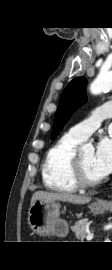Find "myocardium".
<instances>
[{"instance_id": "obj_1", "label": "myocardium", "mask_w": 112, "mask_h": 270, "mask_svg": "<svg viewBox=\"0 0 112 270\" xmlns=\"http://www.w3.org/2000/svg\"><path fill=\"white\" fill-rule=\"evenodd\" d=\"M69 174L77 188H94L100 185L102 182V179L90 181L85 178L80 164L79 154L77 152H75L70 159Z\"/></svg>"}]
</instances>
